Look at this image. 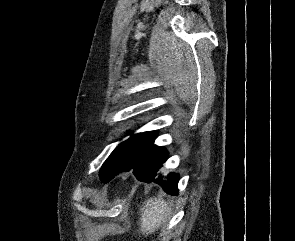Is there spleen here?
Instances as JSON below:
<instances>
[{
  "label": "spleen",
  "mask_w": 295,
  "mask_h": 241,
  "mask_svg": "<svg viewBox=\"0 0 295 241\" xmlns=\"http://www.w3.org/2000/svg\"><path fill=\"white\" fill-rule=\"evenodd\" d=\"M140 211V231L146 235L153 233L170 213L168 203L156 198H150L144 202Z\"/></svg>",
  "instance_id": "1"
}]
</instances>
